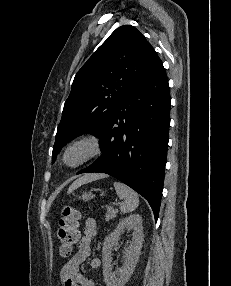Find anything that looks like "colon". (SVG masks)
Instances as JSON below:
<instances>
[{
    "label": "colon",
    "mask_w": 231,
    "mask_h": 286,
    "mask_svg": "<svg viewBox=\"0 0 231 286\" xmlns=\"http://www.w3.org/2000/svg\"><path fill=\"white\" fill-rule=\"evenodd\" d=\"M79 219L80 213L77 209L71 206L63 208L57 231L59 253L62 257H69L80 239Z\"/></svg>",
    "instance_id": "1"
}]
</instances>
